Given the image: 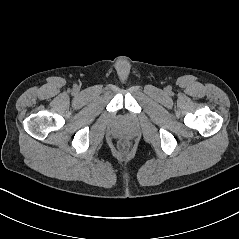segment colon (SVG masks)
I'll use <instances>...</instances> for the list:
<instances>
[{"label": "colon", "instance_id": "5ec220e1", "mask_svg": "<svg viewBox=\"0 0 239 239\" xmlns=\"http://www.w3.org/2000/svg\"><path fill=\"white\" fill-rule=\"evenodd\" d=\"M125 145H126L125 143H122V147H125Z\"/></svg>", "mask_w": 239, "mask_h": 239}]
</instances>
